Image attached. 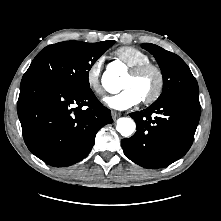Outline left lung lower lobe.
Masks as SVG:
<instances>
[{
    "label": "left lung lower lobe",
    "instance_id": "1",
    "mask_svg": "<svg viewBox=\"0 0 221 221\" xmlns=\"http://www.w3.org/2000/svg\"><path fill=\"white\" fill-rule=\"evenodd\" d=\"M199 94L179 93L130 113L136 133L121 142L125 155L145 168H163L190 149L199 122Z\"/></svg>",
    "mask_w": 221,
    "mask_h": 221
}]
</instances>
